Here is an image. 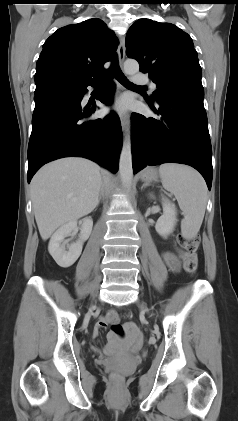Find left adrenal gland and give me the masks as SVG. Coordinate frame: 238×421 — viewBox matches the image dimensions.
<instances>
[{
	"mask_svg": "<svg viewBox=\"0 0 238 421\" xmlns=\"http://www.w3.org/2000/svg\"><path fill=\"white\" fill-rule=\"evenodd\" d=\"M149 185V183L148 182H145L143 185H142V187H141V190H143V188H145L146 186H148Z\"/></svg>",
	"mask_w": 238,
	"mask_h": 421,
	"instance_id": "a2214340",
	"label": "left adrenal gland"
}]
</instances>
